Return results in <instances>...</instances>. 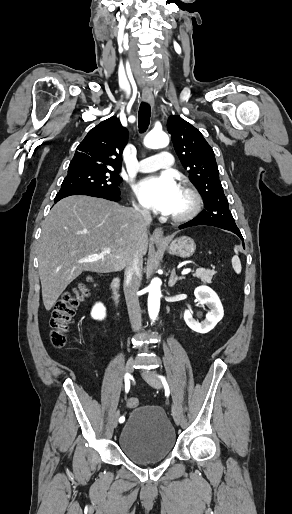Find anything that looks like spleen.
Returning a JSON list of instances; mask_svg holds the SVG:
<instances>
[{
  "label": "spleen",
  "mask_w": 292,
  "mask_h": 514,
  "mask_svg": "<svg viewBox=\"0 0 292 514\" xmlns=\"http://www.w3.org/2000/svg\"><path fill=\"white\" fill-rule=\"evenodd\" d=\"M236 254H237V252H236ZM232 268H233L234 272H236V274H240V272L242 270V266H241V262H240L238 256H233Z\"/></svg>",
  "instance_id": "3e777b00"
}]
</instances>
